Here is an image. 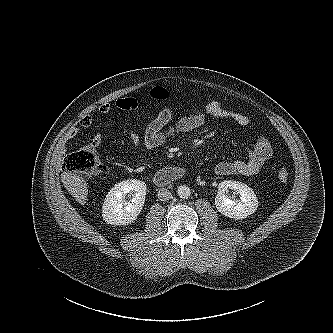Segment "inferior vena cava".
<instances>
[{"mask_svg": "<svg viewBox=\"0 0 333 333\" xmlns=\"http://www.w3.org/2000/svg\"><path fill=\"white\" fill-rule=\"evenodd\" d=\"M157 197L160 201H167L169 200L170 198H172V194L171 192L166 189V188H161L159 191H158V194H157Z\"/></svg>", "mask_w": 333, "mask_h": 333, "instance_id": "1", "label": "inferior vena cava"}]
</instances>
